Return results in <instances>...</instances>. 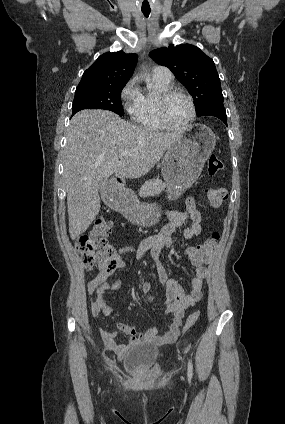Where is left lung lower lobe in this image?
<instances>
[{"label":"left lung lower lobe","mask_w":285,"mask_h":424,"mask_svg":"<svg viewBox=\"0 0 285 424\" xmlns=\"http://www.w3.org/2000/svg\"><path fill=\"white\" fill-rule=\"evenodd\" d=\"M201 116H214L221 119L227 125V115L223 105V102H215L208 105L204 110L197 114V117Z\"/></svg>","instance_id":"1"}]
</instances>
